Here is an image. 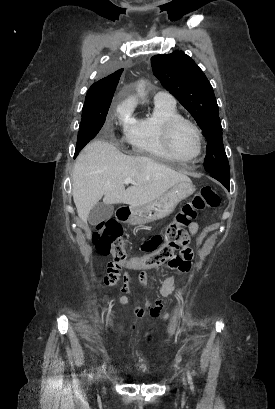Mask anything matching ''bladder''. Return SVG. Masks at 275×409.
I'll list each match as a JSON object with an SVG mask.
<instances>
[{
	"label": "bladder",
	"mask_w": 275,
	"mask_h": 409,
	"mask_svg": "<svg viewBox=\"0 0 275 409\" xmlns=\"http://www.w3.org/2000/svg\"><path fill=\"white\" fill-rule=\"evenodd\" d=\"M133 369L136 370L140 374V376L138 377L140 380H146V377L148 376V370L146 366L134 365Z\"/></svg>",
	"instance_id": "obj_1"
}]
</instances>
